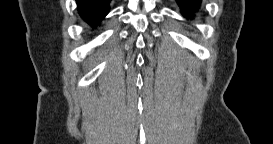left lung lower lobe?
Instances as JSON below:
<instances>
[{
    "label": "left lung lower lobe",
    "instance_id": "1",
    "mask_svg": "<svg viewBox=\"0 0 273 144\" xmlns=\"http://www.w3.org/2000/svg\"><path fill=\"white\" fill-rule=\"evenodd\" d=\"M180 6L181 13L186 18H191L193 12H196L200 7L201 0H176Z\"/></svg>",
    "mask_w": 273,
    "mask_h": 144
}]
</instances>
